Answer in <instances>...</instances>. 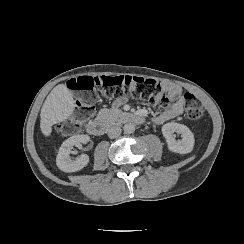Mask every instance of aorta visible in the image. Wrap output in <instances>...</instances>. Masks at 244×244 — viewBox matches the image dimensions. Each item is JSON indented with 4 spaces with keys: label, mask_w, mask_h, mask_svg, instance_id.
Returning a JSON list of instances; mask_svg holds the SVG:
<instances>
[{
    "label": "aorta",
    "mask_w": 244,
    "mask_h": 244,
    "mask_svg": "<svg viewBox=\"0 0 244 244\" xmlns=\"http://www.w3.org/2000/svg\"><path fill=\"white\" fill-rule=\"evenodd\" d=\"M124 133L131 134L135 131V125L133 123H126L123 126Z\"/></svg>",
    "instance_id": "obj_1"
}]
</instances>
